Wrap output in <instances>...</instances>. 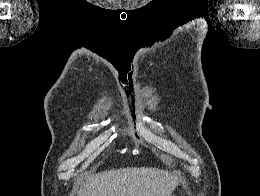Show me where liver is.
<instances>
[{
	"label": "liver",
	"instance_id": "6515ba94",
	"mask_svg": "<svg viewBox=\"0 0 260 196\" xmlns=\"http://www.w3.org/2000/svg\"><path fill=\"white\" fill-rule=\"evenodd\" d=\"M177 174L158 168H120L86 176L79 196H170Z\"/></svg>",
	"mask_w": 260,
	"mask_h": 196
}]
</instances>
